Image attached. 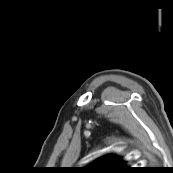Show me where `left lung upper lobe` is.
<instances>
[{"instance_id":"1","label":"left lung upper lobe","mask_w":173,"mask_h":173,"mask_svg":"<svg viewBox=\"0 0 173 173\" xmlns=\"http://www.w3.org/2000/svg\"><path fill=\"white\" fill-rule=\"evenodd\" d=\"M84 173H132L134 169L125 166V161L116 156H105L89 167L82 168Z\"/></svg>"}]
</instances>
